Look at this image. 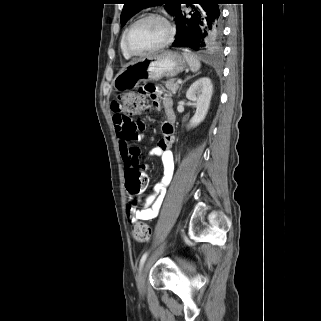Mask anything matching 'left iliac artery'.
<instances>
[{
	"label": "left iliac artery",
	"mask_w": 321,
	"mask_h": 321,
	"mask_svg": "<svg viewBox=\"0 0 321 321\" xmlns=\"http://www.w3.org/2000/svg\"><path fill=\"white\" fill-rule=\"evenodd\" d=\"M148 253H149V251H146V252L143 254V256L141 257L140 265H139L140 270H141L143 264H144L145 261H146V258H147V256H148Z\"/></svg>",
	"instance_id": "obj_1"
}]
</instances>
